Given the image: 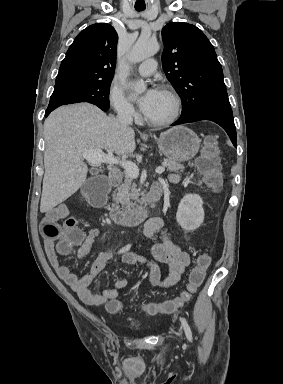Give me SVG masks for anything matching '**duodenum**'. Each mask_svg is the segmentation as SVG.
<instances>
[{
	"instance_id": "duodenum-1",
	"label": "duodenum",
	"mask_w": 283,
	"mask_h": 384,
	"mask_svg": "<svg viewBox=\"0 0 283 384\" xmlns=\"http://www.w3.org/2000/svg\"><path fill=\"white\" fill-rule=\"evenodd\" d=\"M121 176V171L114 169L108 177L112 183H118L121 180ZM162 194V186L159 183L152 184L146 194V202L143 206L131 213L112 212L113 221L128 226L138 225L148 216L151 206L161 198Z\"/></svg>"
}]
</instances>
